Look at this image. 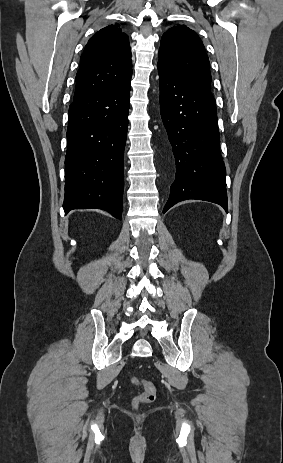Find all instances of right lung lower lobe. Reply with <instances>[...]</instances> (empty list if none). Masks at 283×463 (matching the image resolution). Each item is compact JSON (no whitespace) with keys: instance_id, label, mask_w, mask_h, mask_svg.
<instances>
[{"instance_id":"obj_1","label":"right lung lower lobe","mask_w":283,"mask_h":463,"mask_svg":"<svg viewBox=\"0 0 283 463\" xmlns=\"http://www.w3.org/2000/svg\"><path fill=\"white\" fill-rule=\"evenodd\" d=\"M130 87L129 79L71 103L65 158V213L98 208L122 219Z\"/></svg>"}]
</instances>
